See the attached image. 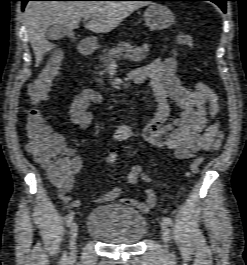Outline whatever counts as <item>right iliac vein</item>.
I'll return each mask as SVG.
<instances>
[{
  "mask_svg": "<svg viewBox=\"0 0 247 265\" xmlns=\"http://www.w3.org/2000/svg\"><path fill=\"white\" fill-rule=\"evenodd\" d=\"M78 235L77 223H72L70 226V256L69 259L74 261L76 258V238Z\"/></svg>",
  "mask_w": 247,
  "mask_h": 265,
  "instance_id": "obj_1",
  "label": "right iliac vein"
}]
</instances>
